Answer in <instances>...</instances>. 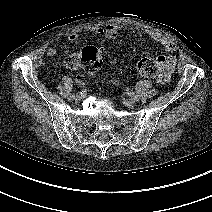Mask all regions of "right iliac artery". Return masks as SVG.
I'll return each mask as SVG.
<instances>
[{
	"instance_id": "1",
	"label": "right iliac artery",
	"mask_w": 212,
	"mask_h": 212,
	"mask_svg": "<svg viewBox=\"0 0 212 212\" xmlns=\"http://www.w3.org/2000/svg\"><path fill=\"white\" fill-rule=\"evenodd\" d=\"M74 97H75V95H74V94H69L67 99H68L69 101H71V100H73V99H74Z\"/></svg>"
}]
</instances>
